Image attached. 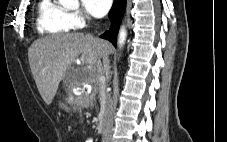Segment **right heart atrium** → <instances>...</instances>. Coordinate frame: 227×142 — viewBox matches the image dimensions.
Wrapping results in <instances>:
<instances>
[{"label":"right heart atrium","mask_w":227,"mask_h":142,"mask_svg":"<svg viewBox=\"0 0 227 142\" xmlns=\"http://www.w3.org/2000/svg\"><path fill=\"white\" fill-rule=\"evenodd\" d=\"M70 20L73 27H80L85 23V16L80 11L70 13Z\"/></svg>","instance_id":"obj_1"}]
</instances>
